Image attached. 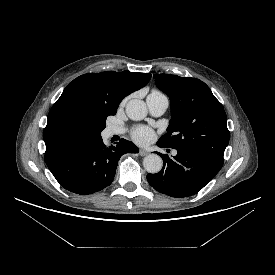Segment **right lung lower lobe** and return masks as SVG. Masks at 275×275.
Segmentation results:
<instances>
[{
    "instance_id": "1",
    "label": "right lung lower lobe",
    "mask_w": 275,
    "mask_h": 275,
    "mask_svg": "<svg viewBox=\"0 0 275 275\" xmlns=\"http://www.w3.org/2000/svg\"><path fill=\"white\" fill-rule=\"evenodd\" d=\"M137 152L138 147L125 139L107 147L100 135L69 138L47 143L45 162L62 187L87 195L112 183L123 154Z\"/></svg>"
}]
</instances>
